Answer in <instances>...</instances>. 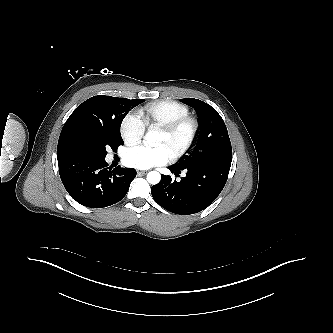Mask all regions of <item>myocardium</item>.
<instances>
[{
  "label": "myocardium",
  "instance_id": "f54148a6",
  "mask_svg": "<svg viewBox=\"0 0 333 333\" xmlns=\"http://www.w3.org/2000/svg\"><path fill=\"white\" fill-rule=\"evenodd\" d=\"M198 126L196 118L186 115L160 127V131L170 138L174 137L181 129H187L185 140L171 152L172 159L180 158L190 149L196 139Z\"/></svg>",
  "mask_w": 333,
  "mask_h": 333
}]
</instances>
